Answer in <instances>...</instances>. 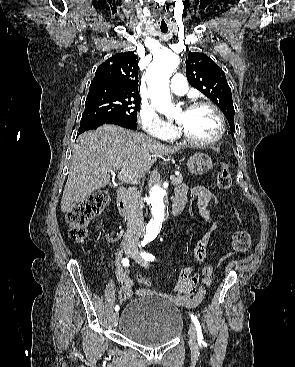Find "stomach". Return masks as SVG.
<instances>
[{"label":"stomach","mask_w":295,"mask_h":367,"mask_svg":"<svg viewBox=\"0 0 295 367\" xmlns=\"http://www.w3.org/2000/svg\"><path fill=\"white\" fill-rule=\"evenodd\" d=\"M212 160L205 153L193 154L187 162L188 171L192 174L202 175L212 168Z\"/></svg>","instance_id":"0dacf381"}]
</instances>
